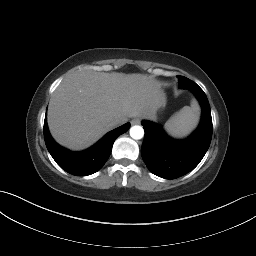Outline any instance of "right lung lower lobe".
<instances>
[{"instance_id":"1","label":"right lung lower lobe","mask_w":256,"mask_h":256,"mask_svg":"<svg viewBox=\"0 0 256 256\" xmlns=\"http://www.w3.org/2000/svg\"><path fill=\"white\" fill-rule=\"evenodd\" d=\"M129 123L107 133L100 141L82 152H71L59 146L51 137L47 121H44V139L46 147L55 162L65 171L75 176L91 175L102 168L112 151L116 138L125 133Z\"/></svg>"}]
</instances>
